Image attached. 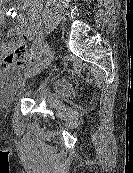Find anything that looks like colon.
<instances>
[{"label":"colon","instance_id":"colon-1","mask_svg":"<svg viewBox=\"0 0 133 173\" xmlns=\"http://www.w3.org/2000/svg\"><path fill=\"white\" fill-rule=\"evenodd\" d=\"M30 61L31 57L27 53L22 40L17 39L10 44L9 49L6 51L0 62V67H8L13 64L23 66L29 64Z\"/></svg>","mask_w":133,"mask_h":173}]
</instances>
